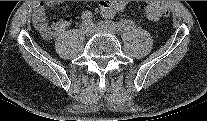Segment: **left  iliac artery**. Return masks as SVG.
Instances as JSON below:
<instances>
[{"instance_id": "1", "label": "left iliac artery", "mask_w": 207, "mask_h": 121, "mask_svg": "<svg viewBox=\"0 0 207 121\" xmlns=\"http://www.w3.org/2000/svg\"><path fill=\"white\" fill-rule=\"evenodd\" d=\"M100 27L112 30L114 33H118L130 28L128 23L112 22V21H101L98 24Z\"/></svg>"}]
</instances>
